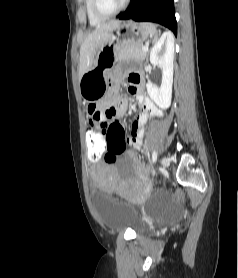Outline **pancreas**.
<instances>
[{
    "mask_svg": "<svg viewBox=\"0 0 238 278\" xmlns=\"http://www.w3.org/2000/svg\"><path fill=\"white\" fill-rule=\"evenodd\" d=\"M143 44L135 43L123 46L117 52V59H138L142 60L146 57V52L142 50Z\"/></svg>",
    "mask_w": 238,
    "mask_h": 278,
    "instance_id": "obj_1",
    "label": "pancreas"
}]
</instances>
